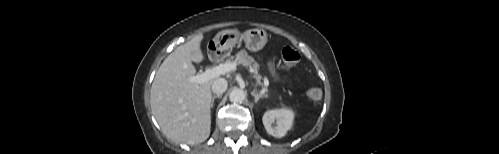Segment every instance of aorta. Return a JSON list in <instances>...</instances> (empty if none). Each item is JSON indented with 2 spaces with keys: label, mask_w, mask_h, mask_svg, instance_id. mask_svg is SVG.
Returning a JSON list of instances; mask_svg holds the SVG:
<instances>
[{
  "label": "aorta",
  "mask_w": 499,
  "mask_h": 154,
  "mask_svg": "<svg viewBox=\"0 0 499 154\" xmlns=\"http://www.w3.org/2000/svg\"><path fill=\"white\" fill-rule=\"evenodd\" d=\"M246 98L245 92L242 89H234L229 95V100L233 103H242Z\"/></svg>",
  "instance_id": "obj_1"
}]
</instances>
